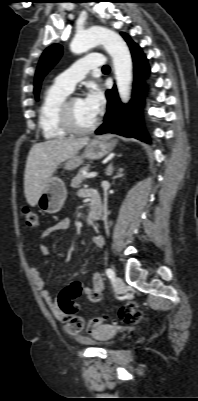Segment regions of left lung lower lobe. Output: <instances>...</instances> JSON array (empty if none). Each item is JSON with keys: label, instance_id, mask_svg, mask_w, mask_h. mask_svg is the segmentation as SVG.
<instances>
[{"label": "left lung lower lobe", "instance_id": "1", "mask_svg": "<svg viewBox=\"0 0 198 401\" xmlns=\"http://www.w3.org/2000/svg\"><path fill=\"white\" fill-rule=\"evenodd\" d=\"M124 38L130 47L134 62V98L129 104L124 105L119 100L116 87L112 90H107V113L105 114L104 123L95 133L104 134L110 132L149 142L141 118V104L145 93L144 80L148 75L149 68L146 57L143 55L139 46H137L127 35H125Z\"/></svg>", "mask_w": 198, "mask_h": 401}]
</instances>
